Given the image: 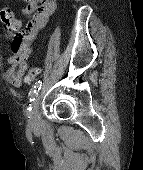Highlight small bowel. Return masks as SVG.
Instances as JSON below:
<instances>
[{"mask_svg": "<svg viewBox=\"0 0 143 170\" xmlns=\"http://www.w3.org/2000/svg\"><path fill=\"white\" fill-rule=\"evenodd\" d=\"M25 4L22 13L32 15L31 24L23 31L21 20L15 17L14 12L4 7L0 11V19L9 33H16L11 41L10 49L12 54L8 56L5 63L9 65L5 72L6 80L14 85L20 86L28 69L29 58L32 53V44L39 32L47 24L56 10V0H20ZM10 17V23L6 16Z\"/></svg>", "mask_w": 143, "mask_h": 170, "instance_id": "c3829d8e", "label": "small bowel"}]
</instances>
